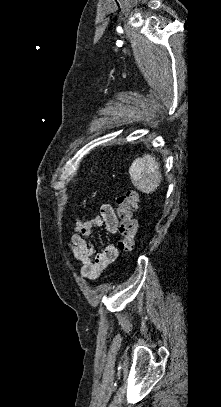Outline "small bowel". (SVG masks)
<instances>
[{
    "instance_id": "small-bowel-1",
    "label": "small bowel",
    "mask_w": 221,
    "mask_h": 407,
    "mask_svg": "<svg viewBox=\"0 0 221 407\" xmlns=\"http://www.w3.org/2000/svg\"><path fill=\"white\" fill-rule=\"evenodd\" d=\"M118 218L114 208L109 204L100 206L99 214L83 221L76 217L75 227L68 240V248L73 257L80 263V277L85 280H95L115 260L118 251L115 243L110 242L102 252L92 258L94 248L90 236L94 229L103 228L110 234H116Z\"/></svg>"
}]
</instances>
